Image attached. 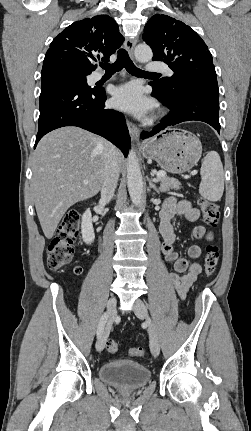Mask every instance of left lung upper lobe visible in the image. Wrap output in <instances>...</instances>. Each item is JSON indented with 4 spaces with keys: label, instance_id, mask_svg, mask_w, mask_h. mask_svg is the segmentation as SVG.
Wrapping results in <instances>:
<instances>
[{
    "label": "left lung upper lobe",
    "instance_id": "1",
    "mask_svg": "<svg viewBox=\"0 0 251 431\" xmlns=\"http://www.w3.org/2000/svg\"><path fill=\"white\" fill-rule=\"evenodd\" d=\"M143 40L152 48V60L164 61L174 72L172 77L151 82L163 97L171 99L199 84L218 86L207 45L183 22L156 14L145 25Z\"/></svg>",
    "mask_w": 251,
    "mask_h": 431
}]
</instances>
